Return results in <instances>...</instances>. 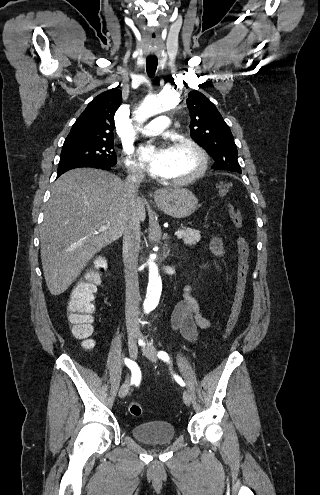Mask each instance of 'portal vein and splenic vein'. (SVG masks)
<instances>
[{"mask_svg":"<svg viewBox=\"0 0 320 495\" xmlns=\"http://www.w3.org/2000/svg\"><path fill=\"white\" fill-rule=\"evenodd\" d=\"M182 234H183V231H176L175 232V235H177L178 237H180Z\"/></svg>","mask_w":320,"mask_h":495,"instance_id":"1","label":"portal vein and splenic vein"}]
</instances>
